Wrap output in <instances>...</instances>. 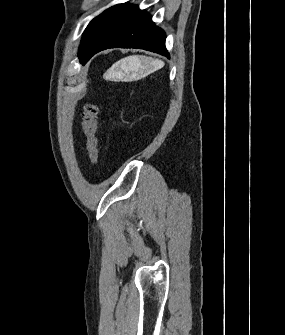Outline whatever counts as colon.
<instances>
[{
	"instance_id": "obj_1",
	"label": "colon",
	"mask_w": 285,
	"mask_h": 335,
	"mask_svg": "<svg viewBox=\"0 0 285 335\" xmlns=\"http://www.w3.org/2000/svg\"><path fill=\"white\" fill-rule=\"evenodd\" d=\"M98 114L99 106L95 103L86 104L82 112V126L86 137L87 151L93 166H97L99 161V148L96 136Z\"/></svg>"
}]
</instances>
